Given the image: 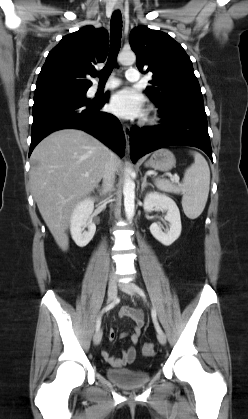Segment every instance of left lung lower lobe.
I'll return each instance as SVG.
<instances>
[{
    "instance_id": "obj_1",
    "label": "left lung lower lobe",
    "mask_w": 248,
    "mask_h": 419,
    "mask_svg": "<svg viewBox=\"0 0 248 419\" xmlns=\"http://www.w3.org/2000/svg\"><path fill=\"white\" fill-rule=\"evenodd\" d=\"M162 124L149 128H133L130 133V155L133 162L154 150L187 145L203 150L212 160L207 115L204 104L187 103L159 109Z\"/></svg>"
}]
</instances>
